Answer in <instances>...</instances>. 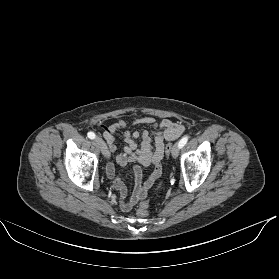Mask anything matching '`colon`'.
I'll list each match as a JSON object with an SVG mask.
<instances>
[{
    "label": "colon",
    "instance_id": "colon-1",
    "mask_svg": "<svg viewBox=\"0 0 279 279\" xmlns=\"http://www.w3.org/2000/svg\"><path fill=\"white\" fill-rule=\"evenodd\" d=\"M171 150H172V144L168 143L165 148L167 156L170 154ZM148 213H149V202L144 201V202L140 203V205L137 209V215L140 217H146L148 215Z\"/></svg>",
    "mask_w": 279,
    "mask_h": 279
}]
</instances>
